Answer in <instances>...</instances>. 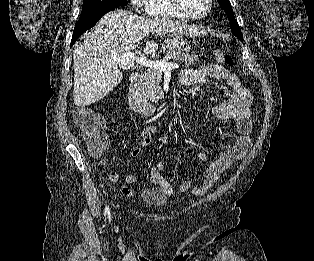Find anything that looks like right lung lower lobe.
<instances>
[{
	"instance_id": "98d812e1",
	"label": "right lung lower lobe",
	"mask_w": 314,
	"mask_h": 261,
	"mask_svg": "<svg viewBox=\"0 0 314 261\" xmlns=\"http://www.w3.org/2000/svg\"><path fill=\"white\" fill-rule=\"evenodd\" d=\"M115 8L109 9L105 12L99 13L97 15H95L94 17H92L91 19L88 20H84V21H79L75 28H74V33L72 36V41H71V46L74 44V42L77 40V38L83 34L86 30L90 29L91 27H93L98 21L99 19L105 15L107 12L114 10Z\"/></svg>"
}]
</instances>
